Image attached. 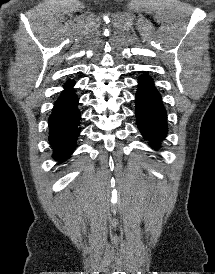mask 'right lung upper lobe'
I'll list each match as a JSON object with an SVG mask.
<instances>
[{"mask_svg":"<svg viewBox=\"0 0 215 274\" xmlns=\"http://www.w3.org/2000/svg\"><path fill=\"white\" fill-rule=\"evenodd\" d=\"M74 85V82L71 80H68L65 84L66 89L62 92L59 98L68 95L73 89L72 86Z\"/></svg>","mask_w":215,"mask_h":274,"instance_id":"right-lung-upper-lobe-1","label":"right lung upper lobe"}]
</instances>
